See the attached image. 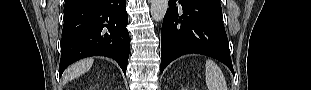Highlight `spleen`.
<instances>
[{
  "label": "spleen",
  "instance_id": "3e777b00",
  "mask_svg": "<svg viewBox=\"0 0 311 90\" xmlns=\"http://www.w3.org/2000/svg\"><path fill=\"white\" fill-rule=\"evenodd\" d=\"M205 67L208 90H227L224 74L217 64L212 60H207Z\"/></svg>",
  "mask_w": 311,
  "mask_h": 90
}]
</instances>
